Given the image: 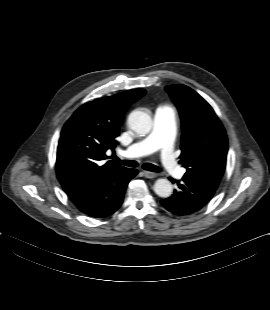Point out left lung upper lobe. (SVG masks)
Listing matches in <instances>:
<instances>
[{
  "instance_id": "obj_1",
  "label": "left lung upper lobe",
  "mask_w": 270,
  "mask_h": 310,
  "mask_svg": "<svg viewBox=\"0 0 270 310\" xmlns=\"http://www.w3.org/2000/svg\"><path fill=\"white\" fill-rule=\"evenodd\" d=\"M166 91L177 106L182 121L179 163L185 175L220 182L228 151L225 130L212 107L191 88L177 84Z\"/></svg>"
}]
</instances>
